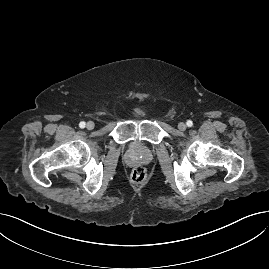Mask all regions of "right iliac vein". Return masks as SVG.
<instances>
[{
    "label": "right iliac vein",
    "instance_id": "1",
    "mask_svg": "<svg viewBox=\"0 0 269 269\" xmlns=\"http://www.w3.org/2000/svg\"><path fill=\"white\" fill-rule=\"evenodd\" d=\"M94 126H95L94 122L93 121H89V122H87L86 128L88 130H92L94 128Z\"/></svg>",
    "mask_w": 269,
    "mask_h": 269
}]
</instances>
